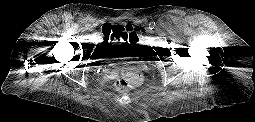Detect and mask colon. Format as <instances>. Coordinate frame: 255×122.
I'll return each instance as SVG.
<instances>
[{
	"mask_svg": "<svg viewBox=\"0 0 255 122\" xmlns=\"http://www.w3.org/2000/svg\"><path fill=\"white\" fill-rule=\"evenodd\" d=\"M102 31L106 36L115 35L123 42L136 39V32L131 25L122 26L109 24L104 26ZM140 80V71L134 66L125 65L121 68L120 78L116 82V88L117 90L124 92L137 86Z\"/></svg>",
	"mask_w": 255,
	"mask_h": 122,
	"instance_id": "colon-1",
	"label": "colon"
}]
</instances>
